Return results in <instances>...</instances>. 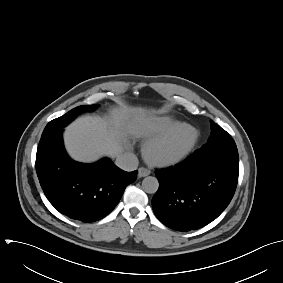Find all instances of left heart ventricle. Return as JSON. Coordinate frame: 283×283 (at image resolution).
Masks as SVG:
<instances>
[{
  "label": "left heart ventricle",
  "instance_id": "1",
  "mask_svg": "<svg viewBox=\"0 0 283 283\" xmlns=\"http://www.w3.org/2000/svg\"><path fill=\"white\" fill-rule=\"evenodd\" d=\"M190 134L189 132H183L180 134L176 140L170 145L168 148L169 151H176L179 149L181 146H183L188 140H189Z\"/></svg>",
  "mask_w": 283,
  "mask_h": 283
}]
</instances>
